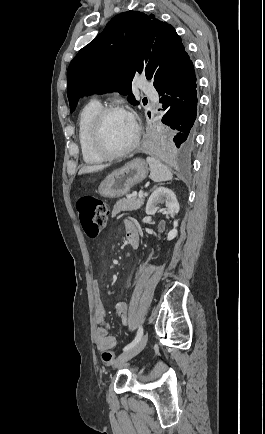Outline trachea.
<instances>
[{
	"label": "trachea",
	"instance_id": "3493384b",
	"mask_svg": "<svg viewBox=\"0 0 265 434\" xmlns=\"http://www.w3.org/2000/svg\"><path fill=\"white\" fill-rule=\"evenodd\" d=\"M143 100H146V101H147V98L145 97Z\"/></svg>",
	"mask_w": 265,
	"mask_h": 434
}]
</instances>
